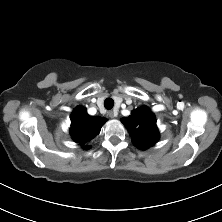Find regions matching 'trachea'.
<instances>
[{
    "mask_svg": "<svg viewBox=\"0 0 222 222\" xmlns=\"http://www.w3.org/2000/svg\"><path fill=\"white\" fill-rule=\"evenodd\" d=\"M113 106H114V101H113V99L107 98V99L104 101V107H105L107 110L112 109Z\"/></svg>",
    "mask_w": 222,
    "mask_h": 222,
    "instance_id": "1",
    "label": "trachea"
}]
</instances>
